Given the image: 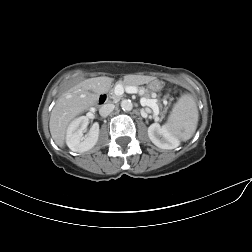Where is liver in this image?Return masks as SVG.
<instances>
[{"mask_svg":"<svg viewBox=\"0 0 252 252\" xmlns=\"http://www.w3.org/2000/svg\"><path fill=\"white\" fill-rule=\"evenodd\" d=\"M149 76L126 75V85H140L148 83ZM113 79L109 77H96L86 79L70 88L60 97L52 109L49 128L50 133L59 147L65 144V136L70 123L84 111L95 105L98 95L109 90Z\"/></svg>","mask_w":252,"mask_h":252,"instance_id":"6515ba94","label":"liver"}]
</instances>
